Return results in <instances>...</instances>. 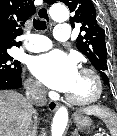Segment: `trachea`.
Segmentation results:
<instances>
[{
  "label": "trachea",
  "instance_id": "obj_1",
  "mask_svg": "<svg viewBox=\"0 0 117 136\" xmlns=\"http://www.w3.org/2000/svg\"><path fill=\"white\" fill-rule=\"evenodd\" d=\"M33 26L36 30H45L47 28L44 20L33 19Z\"/></svg>",
  "mask_w": 117,
  "mask_h": 136
}]
</instances>
